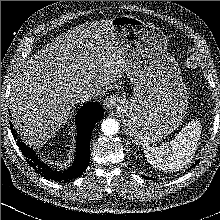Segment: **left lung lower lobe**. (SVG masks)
Masks as SVG:
<instances>
[{
	"instance_id": "left-lung-lower-lobe-1",
	"label": "left lung lower lobe",
	"mask_w": 220,
	"mask_h": 220,
	"mask_svg": "<svg viewBox=\"0 0 220 220\" xmlns=\"http://www.w3.org/2000/svg\"><path fill=\"white\" fill-rule=\"evenodd\" d=\"M195 164H197V163H195ZM145 178H146V179H151V178H149V177H146V176H145Z\"/></svg>"
}]
</instances>
